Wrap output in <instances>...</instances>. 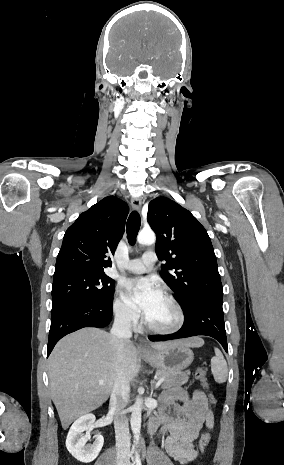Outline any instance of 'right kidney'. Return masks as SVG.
<instances>
[{
    "instance_id": "1",
    "label": "right kidney",
    "mask_w": 284,
    "mask_h": 465,
    "mask_svg": "<svg viewBox=\"0 0 284 465\" xmlns=\"http://www.w3.org/2000/svg\"><path fill=\"white\" fill-rule=\"evenodd\" d=\"M93 423H95V415H91V413L83 415L73 423L67 435L66 447L72 457L81 463L94 461L103 447L102 435H97L93 445H86L87 441H90V437L83 435V433L84 431H92Z\"/></svg>"
}]
</instances>
